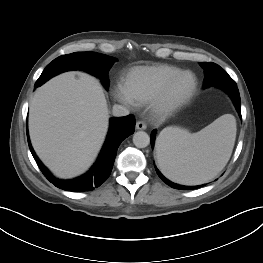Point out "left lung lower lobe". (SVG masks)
<instances>
[{"instance_id": "obj_1", "label": "left lung lower lobe", "mask_w": 263, "mask_h": 263, "mask_svg": "<svg viewBox=\"0 0 263 263\" xmlns=\"http://www.w3.org/2000/svg\"><path fill=\"white\" fill-rule=\"evenodd\" d=\"M200 64L205 70V79H204L205 86H216V85H213L214 84V78H216L215 74H217L222 68L215 63H200ZM218 87L222 88L223 90H225L230 95V97H231L240 117H241V101H240L239 90L237 88L236 83H224L222 85H219ZM155 132H156L155 130L152 131L151 137H150L152 147L154 146ZM155 170H156L158 176L167 185L171 186L172 188L181 189V190H192V189H196V188L200 187V186H182V185L172 183L171 181L167 180L160 173V171L157 169L156 166H155Z\"/></svg>"}]
</instances>
